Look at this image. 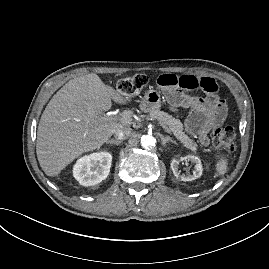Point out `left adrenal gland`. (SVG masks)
<instances>
[{"instance_id": "a2214340", "label": "left adrenal gland", "mask_w": 269, "mask_h": 269, "mask_svg": "<svg viewBox=\"0 0 269 269\" xmlns=\"http://www.w3.org/2000/svg\"><path fill=\"white\" fill-rule=\"evenodd\" d=\"M160 138H161V143L163 146H166L167 142H172L174 144H177V142L175 140H173L170 136L160 135Z\"/></svg>"}]
</instances>
